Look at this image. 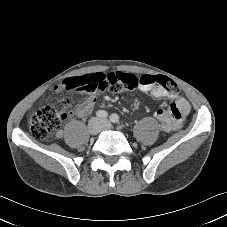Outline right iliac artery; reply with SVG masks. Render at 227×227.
Segmentation results:
<instances>
[{"mask_svg":"<svg viewBox=\"0 0 227 227\" xmlns=\"http://www.w3.org/2000/svg\"><path fill=\"white\" fill-rule=\"evenodd\" d=\"M96 116L101 118V119H105V118H107L108 113L104 110H99V111L96 112Z\"/></svg>","mask_w":227,"mask_h":227,"instance_id":"obj_1","label":"right iliac artery"}]
</instances>
